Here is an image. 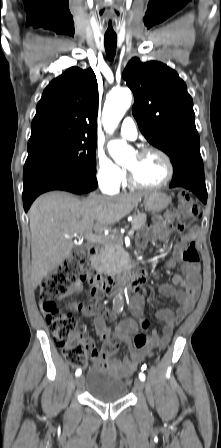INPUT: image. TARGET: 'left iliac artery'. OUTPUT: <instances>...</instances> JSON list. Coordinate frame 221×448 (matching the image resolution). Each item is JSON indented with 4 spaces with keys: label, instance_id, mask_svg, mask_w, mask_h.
Segmentation results:
<instances>
[{
    "label": "left iliac artery",
    "instance_id": "1",
    "mask_svg": "<svg viewBox=\"0 0 221 448\" xmlns=\"http://www.w3.org/2000/svg\"><path fill=\"white\" fill-rule=\"evenodd\" d=\"M142 368H146V365H143ZM139 378H140V380L144 381V380H145V375H144V373H140V374H139Z\"/></svg>",
    "mask_w": 221,
    "mask_h": 448
}]
</instances>
